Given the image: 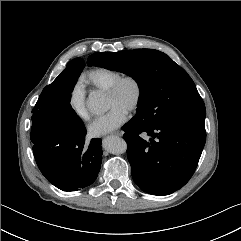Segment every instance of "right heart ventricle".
<instances>
[{
  "instance_id": "1",
  "label": "right heart ventricle",
  "mask_w": 241,
  "mask_h": 241,
  "mask_svg": "<svg viewBox=\"0 0 241 241\" xmlns=\"http://www.w3.org/2000/svg\"><path fill=\"white\" fill-rule=\"evenodd\" d=\"M121 76L115 69L107 67H94L88 70L83 78L85 82L95 90L105 92L109 86Z\"/></svg>"
}]
</instances>
